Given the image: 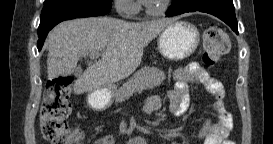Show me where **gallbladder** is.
<instances>
[{"label": "gallbladder", "instance_id": "1", "mask_svg": "<svg viewBox=\"0 0 273 144\" xmlns=\"http://www.w3.org/2000/svg\"><path fill=\"white\" fill-rule=\"evenodd\" d=\"M72 69H73V76H81V74H82V68H80V66L79 65H73L72 66Z\"/></svg>", "mask_w": 273, "mask_h": 144}]
</instances>
